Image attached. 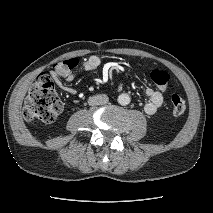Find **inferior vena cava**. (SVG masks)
Returning a JSON list of instances; mask_svg holds the SVG:
<instances>
[{
	"mask_svg": "<svg viewBox=\"0 0 213 213\" xmlns=\"http://www.w3.org/2000/svg\"><path fill=\"white\" fill-rule=\"evenodd\" d=\"M108 101H109V98L107 95L98 94V95L90 97L88 100V103H89V105L94 106V105H104V104L108 103Z\"/></svg>",
	"mask_w": 213,
	"mask_h": 213,
	"instance_id": "obj_1",
	"label": "inferior vena cava"
}]
</instances>
